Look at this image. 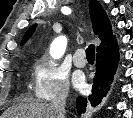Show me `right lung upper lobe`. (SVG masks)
<instances>
[{
	"label": "right lung upper lobe",
	"mask_w": 133,
	"mask_h": 118,
	"mask_svg": "<svg viewBox=\"0 0 133 118\" xmlns=\"http://www.w3.org/2000/svg\"><path fill=\"white\" fill-rule=\"evenodd\" d=\"M89 11L94 33L98 34L99 38L101 39V44L97 47V49H100L101 47H104L105 45L113 41L115 39V36L112 35L111 25L108 17L97 0H90ZM35 27L36 24L31 26L27 30L21 44H24L31 37L35 30Z\"/></svg>",
	"instance_id": "obj_1"
}]
</instances>
